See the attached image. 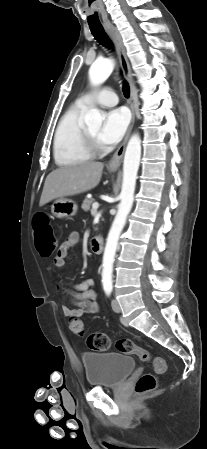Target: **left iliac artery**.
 <instances>
[{
  "label": "left iliac artery",
  "instance_id": "obj_1",
  "mask_svg": "<svg viewBox=\"0 0 207 449\" xmlns=\"http://www.w3.org/2000/svg\"><path fill=\"white\" fill-rule=\"evenodd\" d=\"M104 291L109 296L111 294V292H112V286H110V285L104 286Z\"/></svg>",
  "mask_w": 207,
  "mask_h": 449
}]
</instances>
